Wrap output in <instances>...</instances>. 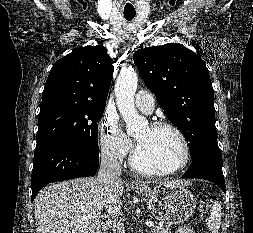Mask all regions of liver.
I'll list each match as a JSON object with an SVG mask.
<instances>
[{
	"label": "liver",
	"mask_w": 253,
	"mask_h": 233,
	"mask_svg": "<svg viewBox=\"0 0 253 233\" xmlns=\"http://www.w3.org/2000/svg\"><path fill=\"white\" fill-rule=\"evenodd\" d=\"M169 183L183 185L182 181ZM123 191L124 185L121 180L117 186L119 196ZM106 202L103 187L97 178H79L49 185L34 201L37 231L90 233Z\"/></svg>",
	"instance_id": "1"
}]
</instances>
